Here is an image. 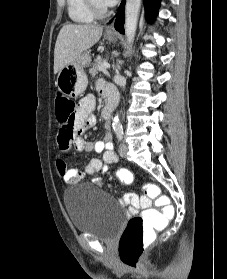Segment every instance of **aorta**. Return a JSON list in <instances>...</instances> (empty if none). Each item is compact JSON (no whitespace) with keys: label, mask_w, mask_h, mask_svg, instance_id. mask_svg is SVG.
I'll return each mask as SVG.
<instances>
[{"label":"aorta","mask_w":227,"mask_h":279,"mask_svg":"<svg viewBox=\"0 0 227 279\" xmlns=\"http://www.w3.org/2000/svg\"><path fill=\"white\" fill-rule=\"evenodd\" d=\"M140 6L141 0H126L124 27L125 36L129 44L133 43L134 41ZM112 125L114 129H118L121 127L120 119L118 116H115Z\"/></svg>","instance_id":"1"}]
</instances>
